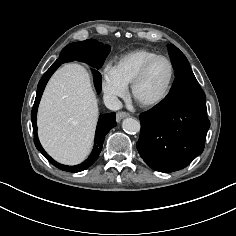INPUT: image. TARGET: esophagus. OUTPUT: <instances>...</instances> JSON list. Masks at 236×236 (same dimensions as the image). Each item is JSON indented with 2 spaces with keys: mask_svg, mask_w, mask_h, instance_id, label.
I'll return each mask as SVG.
<instances>
[{
  "mask_svg": "<svg viewBox=\"0 0 236 236\" xmlns=\"http://www.w3.org/2000/svg\"><path fill=\"white\" fill-rule=\"evenodd\" d=\"M128 116H129V113L124 112V111H119L116 114V121L120 122L123 118L128 117Z\"/></svg>",
  "mask_w": 236,
  "mask_h": 236,
  "instance_id": "obj_1",
  "label": "esophagus"
}]
</instances>
